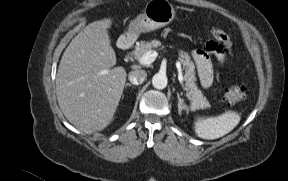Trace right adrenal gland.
Instances as JSON below:
<instances>
[{
  "mask_svg": "<svg viewBox=\"0 0 288 181\" xmlns=\"http://www.w3.org/2000/svg\"><path fill=\"white\" fill-rule=\"evenodd\" d=\"M125 86H126V87H127V86H132V84H130V83H126V85H125Z\"/></svg>",
  "mask_w": 288,
  "mask_h": 181,
  "instance_id": "2a0ac1e0",
  "label": "right adrenal gland"
}]
</instances>
